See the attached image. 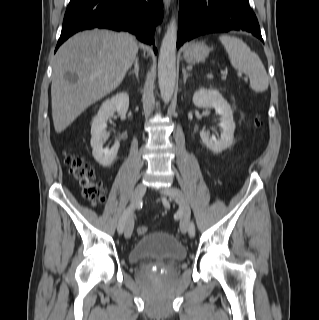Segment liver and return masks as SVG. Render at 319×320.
I'll return each mask as SVG.
<instances>
[{
  "label": "liver",
  "instance_id": "1",
  "mask_svg": "<svg viewBox=\"0 0 319 320\" xmlns=\"http://www.w3.org/2000/svg\"><path fill=\"white\" fill-rule=\"evenodd\" d=\"M138 51L126 32L93 29L75 34L57 51L51 85L56 133L64 131L90 105L114 91L132 66ZM74 73L77 82L66 80Z\"/></svg>",
  "mask_w": 319,
  "mask_h": 320
}]
</instances>
